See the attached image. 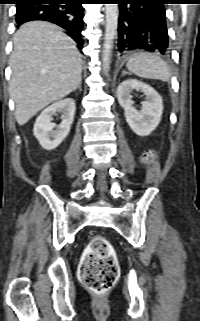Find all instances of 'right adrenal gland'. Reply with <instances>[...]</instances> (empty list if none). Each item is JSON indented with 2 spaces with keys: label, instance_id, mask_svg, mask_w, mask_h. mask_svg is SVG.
Returning <instances> with one entry per match:
<instances>
[{
  "label": "right adrenal gland",
  "instance_id": "right-adrenal-gland-1",
  "mask_svg": "<svg viewBox=\"0 0 200 321\" xmlns=\"http://www.w3.org/2000/svg\"><path fill=\"white\" fill-rule=\"evenodd\" d=\"M81 84H82V80H80L77 87L73 91H76L78 89L81 92L82 91Z\"/></svg>",
  "mask_w": 200,
  "mask_h": 321
}]
</instances>
